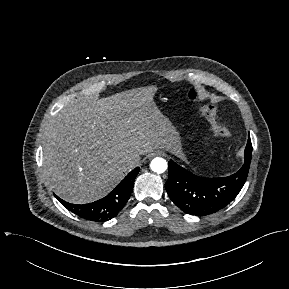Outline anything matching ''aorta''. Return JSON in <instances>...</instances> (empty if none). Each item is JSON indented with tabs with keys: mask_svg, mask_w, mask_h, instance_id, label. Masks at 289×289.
Wrapping results in <instances>:
<instances>
[{
	"mask_svg": "<svg viewBox=\"0 0 289 289\" xmlns=\"http://www.w3.org/2000/svg\"><path fill=\"white\" fill-rule=\"evenodd\" d=\"M150 168L155 173L160 174V173H163L167 170L168 164H167V161L165 159L160 158V157H156L151 161Z\"/></svg>",
	"mask_w": 289,
	"mask_h": 289,
	"instance_id": "762f6f07",
	"label": "aorta"
}]
</instances>
